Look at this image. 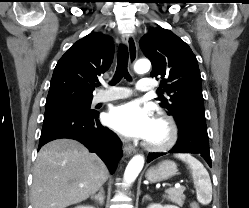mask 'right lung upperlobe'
I'll return each instance as SVG.
<instances>
[{"label":"right lung upper lobe","instance_id":"1","mask_svg":"<svg viewBox=\"0 0 249 208\" xmlns=\"http://www.w3.org/2000/svg\"><path fill=\"white\" fill-rule=\"evenodd\" d=\"M113 55L108 36L92 32L78 40L54 69L45 108L92 100L97 76L109 69Z\"/></svg>","mask_w":249,"mask_h":208}]
</instances>
